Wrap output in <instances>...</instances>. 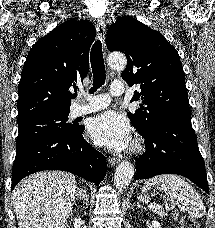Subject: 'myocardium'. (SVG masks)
Wrapping results in <instances>:
<instances>
[{
    "mask_svg": "<svg viewBox=\"0 0 215 228\" xmlns=\"http://www.w3.org/2000/svg\"><path fill=\"white\" fill-rule=\"evenodd\" d=\"M142 148H143V141L140 138H138L135 141V143L133 144L132 151L133 152H139L142 150Z\"/></svg>",
    "mask_w": 215,
    "mask_h": 228,
    "instance_id": "obj_1",
    "label": "myocardium"
}]
</instances>
